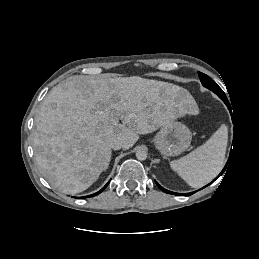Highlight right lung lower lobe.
Here are the masks:
<instances>
[{
    "instance_id": "98d812e1",
    "label": "right lung lower lobe",
    "mask_w": 259,
    "mask_h": 259,
    "mask_svg": "<svg viewBox=\"0 0 259 259\" xmlns=\"http://www.w3.org/2000/svg\"><path fill=\"white\" fill-rule=\"evenodd\" d=\"M108 184H109V182L100 191H98L97 193L89 195V196H86V197H83V198H87V197H92V196L98 195L99 193H101L108 186Z\"/></svg>"
}]
</instances>
